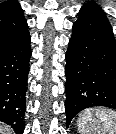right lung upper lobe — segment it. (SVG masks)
<instances>
[{"label":"right lung upper lobe","mask_w":116,"mask_h":134,"mask_svg":"<svg viewBox=\"0 0 116 134\" xmlns=\"http://www.w3.org/2000/svg\"><path fill=\"white\" fill-rule=\"evenodd\" d=\"M28 29L18 1L0 2V48Z\"/></svg>","instance_id":"obj_1"}]
</instances>
